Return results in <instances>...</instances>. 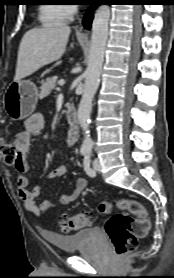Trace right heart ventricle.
<instances>
[{
	"mask_svg": "<svg viewBox=\"0 0 174 278\" xmlns=\"http://www.w3.org/2000/svg\"><path fill=\"white\" fill-rule=\"evenodd\" d=\"M39 19L44 26H55L69 21L71 15L68 12L67 5L49 3L40 7Z\"/></svg>",
	"mask_w": 174,
	"mask_h": 278,
	"instance_id": "obj_1",
	"label": "right heart ventricle"
}]
</instances>
